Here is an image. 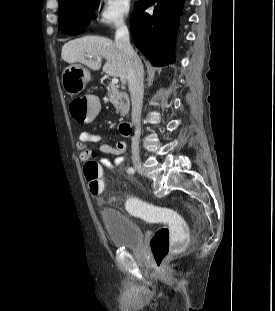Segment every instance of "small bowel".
Wrapping results in <instances>:
<instances>
[{"mask_svg": "<svg viewBox=\"0 0 275 311\" xmlns=\"http://www.w3.org/2000/svg\"><path fill=\"white\" fill-rule=\"evenodd\" d=\"M91 143H100L98 149L101 153L114 156L113 159H100L99 164L105 168L113 169L125 162L123 154L126 151V143L123 140H119L116 142L115 146H111L102 142V136L100 134L91 131H82L78 135L76 148L79 151L80 160L84 162L85 165L91 161V155L97 154L96 150L90 151L88 149V145Z\"/></svg>", "mask_w": 275, "mask_h": 311, "instance_id": "small-bowel-1", "label": "small bowel"}]
</instances>
